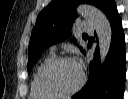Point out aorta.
Instances as JSON below:
<instances>
[{
	"mask_svg": "<svg viewBox=\"0 0 128 99\" xmlns=\"http://www.w3.org/2000/svg\"><path fill=\"white\" fill-rule=\"evenodd\" d=\"M77 11L87 18L96 30L99 40L100 64H103L111 47L112 29L110 22L105 14L95 6L81 4Z\"/></svg>",
	"mask_w": 128,
	"mask_h": 99,
	"instance_id": "obj_1",
	"label": "aorta"
}]
</instances>
